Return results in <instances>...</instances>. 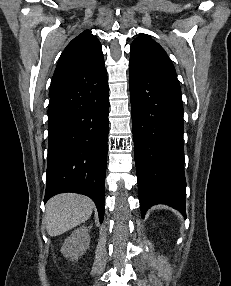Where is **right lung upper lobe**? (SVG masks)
I'll use <instances>...</instances> for the list:
<instances>
[{
	"label": "right lung upper lobe",
	"mask_w": 231,
	"mask_h": 286,
	"mask_svg": "<svg viewBox=\"0 0 231 286\" xmlns=\"http://www.w3.org/2000/svg\"><path fill=\"white\" fill-rule=\"evenodd\" d=\"M106 72L99 40L85 30L63 51L56 66L49 96L70 89L78 82L93 79Z\"/></svg>",
	"instance_id": "1"
}]
</instances>
